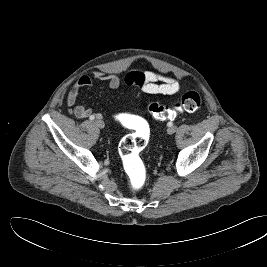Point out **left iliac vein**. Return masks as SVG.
Instances as JSON below:
<instances>
[{
  "label": "left iliac vein",
  "instance_id": "4c4485c4",
  "mask_svg": "<svg viewBox=\"0 0 267 267\" xmlns=\"http://www.w3.org/2000/svg\"><path fill=\"white\" fill-rule=\"evenodd\" d=\"M176 132V127L175 126H171L167 129V133L168 134H173Z\"/></svg>",
  "mask_w": 267,
  "mask_h": 267
}]
</instances>
